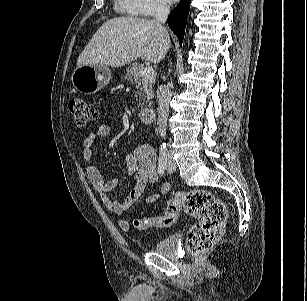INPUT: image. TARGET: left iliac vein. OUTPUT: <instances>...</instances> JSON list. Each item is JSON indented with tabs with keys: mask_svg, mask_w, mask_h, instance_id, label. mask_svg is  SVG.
Returning a JSON list of instances; mask_svg holds the SVG:
<instances>
[{
	"mask_svg": "<svg viewBox=\"0 0 307 301\" xmlns=\"http://www.w3.org/2000/svg\"><path fill=\"white\" fill-rule=\"evenodd\" d=\"M166 169L169 173H173L176 170V163L172 159V154L170 152L168 154V162H167Z\"/></svg>",
	"mask_w": 307,
	"mask_h": 301,
	"instance_id": "left-iliac-vein-1",
	"label": "left iliac vein"
}]
</instances>
